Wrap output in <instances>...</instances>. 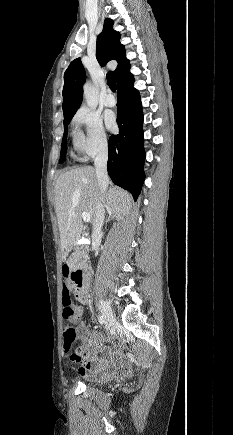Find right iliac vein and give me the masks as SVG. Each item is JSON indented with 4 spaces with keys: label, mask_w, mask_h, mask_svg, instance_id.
I'll use <instances>...</instances> for the list:
<instances>
[{
    "label": "right iliac vein",
    "mask_w": 233,
    "mask_h": 435,
    "mask_svg": "<svg viewBox=\"0 0 233 435\" xmlns=\"http://www.w3.org/2000/svg\"><path fill=\"white\" fill-rule=\"evenodd\" d=\"M100 303V309L102 312V315L105 319L106 322V329L110 330L114 324V322L116 321L115 316L113 314V311L110 307V305L103 299L99 300Z\"/></svg>",
    "instance_id": "obj_1"
}]
</instances>
